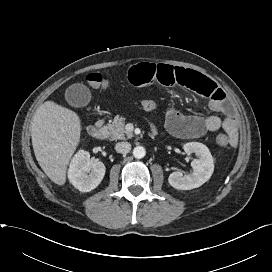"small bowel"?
<instances>
[{
	"mask_svg": "<svg viewBox=\"0 0 272 272\" xmlns=\"http://www.w3.org/2000/svg\"><path fill=\"white\" fill-rule=\"evenodd\" d=\"M130 82L139 87L153 84L165 86H183L209 99V108L217 115L193 116L185 115L172 106L165 109V130L171 135L188 139L197 138L207 132L223 129L232 147L238 144V131L233 107L228 102L224 91L211 79L190 69L166 64L140 63L128 74ZM155 132V128L152 129Z\"/></svg>",
	"mask_w": 272,
	"mask_h": 272,
	"instance_id": "obj_1",
	"label": "small bowel"
}]
</instances>
